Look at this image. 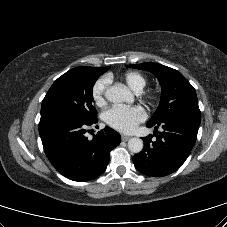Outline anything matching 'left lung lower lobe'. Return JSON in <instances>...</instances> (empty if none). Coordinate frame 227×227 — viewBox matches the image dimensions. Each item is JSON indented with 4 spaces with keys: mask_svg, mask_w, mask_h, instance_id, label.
<instances>
[{
    "mask_svg": "<svg viewBox=\"0 0 227 227\" xmlns=\"http://www.w3.org/2000/svg\"><path fill=\"white\" fill-rule=\"evenodd\" d=\"M201 115L185 114L168 118L147 127L161 126L164 131L152 141V135L142 138L144 149L133 157L137 170L145 175L162 177L176 171L189 156L198 133Z\"/></svg>",
    "mask_w": 227,
    "mask_h": 227,
    "instance_id": "left-lung-lower-lobe-1",
    "label": "left lung lower lobe"
}]
</instances>
